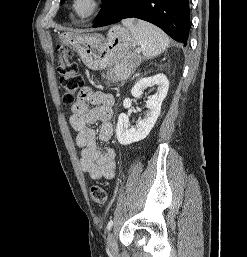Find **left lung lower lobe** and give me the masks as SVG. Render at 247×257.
<instances>
[{
	"label": "left lung lower lobe",
	"instance_id": "0a47b994",
	"mask_svg": "<svg viewBox=\"0 0 247 257\" xmlns=\"http://www.w3.org/2000/svg\"><path fill=\"white\" fill-rule=\"evenodd\" d=\"M124 18L148 21L174 40L187 44L189 0H106L93 27L114 24Z\"/></svg>",
	"mask_w": 247,
	"mask_h": 257
}]
</instances>
